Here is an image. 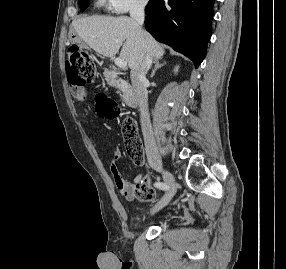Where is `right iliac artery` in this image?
<instances>
[{
	"instance_id": "obj_1",
	"label": "right iliac artery",
	"mask_w": 286,
	"mask_h": 269,
	"mask_svg": "<svg viewBox=\"0 0 286 269\" xmlns=\"http://www.w3.org/2000/svg\"><path fill=\"white\" fill-rule=\"evenodd\" d=\"M155 187L159 188V189H162V190H166L168 189L167 185L163 182H157L155 183Z\"/></svg>"
}]
</instances>
